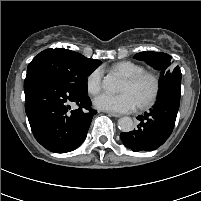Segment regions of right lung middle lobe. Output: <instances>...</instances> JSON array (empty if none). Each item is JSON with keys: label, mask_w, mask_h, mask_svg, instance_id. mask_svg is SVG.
Masks as SVG:
<instances>
[{"label": "right lung middle lobe", "mask_w": 201, "mask_h": 201, "mask_svg": "<svg viewBox=\"0 0 201 201\" xmlns=\"http://www.w3.org/2000/svg\"><path fill=\"white\" fill-rule=\"evenodd\" d=\"M101 63L71 50L46 49L29 63L27 74L39 70L50 72L68 83L78 94L87 95V76Z\"/></svg>", "instance_id": "right-lung-middle-lobe-1"}]
</instances>
